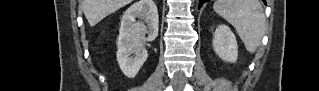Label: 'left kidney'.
Segmentation results:
<instances>
[{"label": "left kidney", "mask_w": 319, "mask_h": 91, "mask_svg": "<svg viewBox=\"0 0 319 91\" xmlns=\"http://www.w3.org/2000/svg\"><path fill=\"white\" fill-rule=\"evenodd\" d=\"M213 49L224 61L234 63L238 57L236 37L230 28L224 24L219 25L213 35Z\"/></svg>", "instance_id": "left-kidney-1"}]
</instances>
